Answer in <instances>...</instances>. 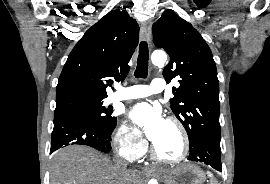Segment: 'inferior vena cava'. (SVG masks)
<instances>
[{"mask_svg": "<svg viewBox=\"0 0 270 184\" xmlns=\"http://www.w3.org/2000/svg\"><path fill=\"white\" fill-rule=\"evenodd\" d=\"M117 164L124 167V168L127 167V163L125 161L121 160V159L117 161Z\"/></svg>", "mask_w": 270, "mask_h": 184, "instance_id": "inferior-vena-cava-1", "label": "inferior vena cava"}]
</instances>
